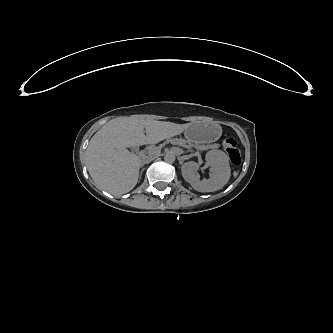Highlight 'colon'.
I'll return each mask as SVG.
<instances>
[{"label": "colon", "mask_w": 333, "mask_h": 333, "mask_svg": "<svg viewBox=\"0 0 333 333\" xmlns=\"http://www.w3.org/2000/svg\"><path fill=\"white\" fill-rule=\"evenodd\" d=\"M223 146L232 164L239 165L241 162V152L237 146L236 140L233 138H226L223 141Z\"/></svg>", "instance_id": "1"}]
</instances>
